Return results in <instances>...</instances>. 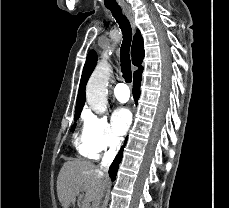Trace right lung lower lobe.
Wrapping results in <instances>:
<instances>
[{"label":"right lung lower lobe","instance_id":"right-lung-lower-lobe-1","mask_svg":"<svg viewBox=\"0 0 229 208\" xmlns=\"http://www.w3.org/2000/svg\"><path fill=\"white\" fill-rule=\"evenodd\" d=\"M141 79H142V72L137 74L136 76H134L133 96H134V99H135L136 103H137V100H138V98L140 96ZM125 143H126V141H125ZM125 143H124V146H125ZM124 146L121 148V150L119 151L118 155L114 159L112 165L110 166L109 176H110L112 181H114L115 178H116V173H117V170H118L119 163L121 162V159H122Z\"/></svg>","mask_w":229,"mask_h":208}]
</instances>
